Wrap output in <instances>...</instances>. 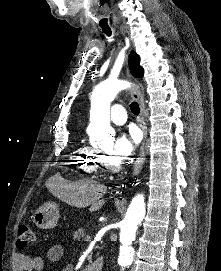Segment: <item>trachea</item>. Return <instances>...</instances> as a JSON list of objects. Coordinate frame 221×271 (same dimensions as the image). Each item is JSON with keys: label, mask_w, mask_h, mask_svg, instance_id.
I'll list each match as a JSON object with an SVG mask.
<instances>
[{"label": "trachea", "mask_w": 221, "mask_h": 271, "mask_svg": "<svg viewBox=\"0 0 221 271\" xmlns=\"http://www.w3.org/2000/svg\"><path fill=\"white\" fill-rule=\"evenodd\" d=\"M103 29V32L110 36L111 35V30L109 27H102ZM130 110L132 113H134V115H139V112H140V108H139V105L138 103H136V101H133L131 104H130Z\"/></svg>", "instance_id": "1"}]
</instances>
